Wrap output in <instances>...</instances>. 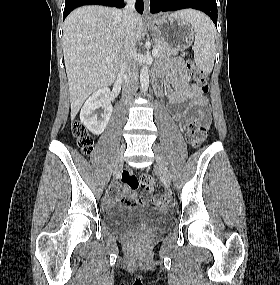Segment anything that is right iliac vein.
I'll use <instances>...</instances> for the list:
<instances>
[{"instance_id": "1", "label": "right iliac vein", "mask_w": 280, "mask_h": 285, "mask_svg": "<svg viewBox=\"0 0 280 285\" xmlns=\"http://www.w3.org/2000/svg\"><path fill=\"white\" fill-rule=\"evenodd\" d=\"M125 149V146L123 145L121 147V153L119 154L117 160H116V163H115V166H114V175L121 170L122 168V164H123V156H122V152L124 151Z\"/></svg>"}]
</instances>
